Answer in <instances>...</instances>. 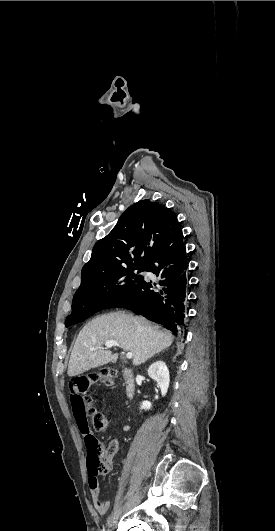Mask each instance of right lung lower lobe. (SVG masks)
<instances>
[{
	"mask_svg": "<svg viewBox=\"0 0 275 531\" xmlns=\"http://www.w3.org/2000/svg\"><path fill=\"white\" fill-rule=\"evenodd\" d=\"M146 271L160 278L158 283L145 279L130 297L117 307L126 308L147 319L163 324L174 334L184 330L186 297V250L180 225L162 243Z\"/></svg>",
	"mask_w": 275,
	"mask_h": 531,
	"instance_id": "right-lung-lower-lobe-1",
	"label": "right lung lower lobe"
}]
</instances>
